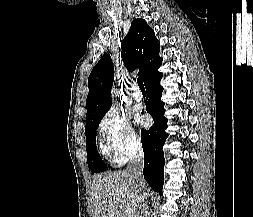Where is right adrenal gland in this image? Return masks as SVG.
<instances>
[{"label": "right adrenal gland", "instance_id": "obj_1", "mask_svg": "<svg viewBox=\"0 0 253 217\" xmlns=\"http://www.w3.org/2000/svg\"><path fill=\"white\" fill-rule=\"evenodd\" d=\"M146 209H148V206H146ZM147 215H148V211H147V214H146V216H145V217H147Z\"/></svg>", "mask_w": 253, "mask_h": 217}]
</instances>
